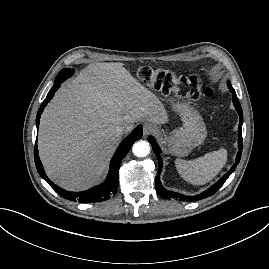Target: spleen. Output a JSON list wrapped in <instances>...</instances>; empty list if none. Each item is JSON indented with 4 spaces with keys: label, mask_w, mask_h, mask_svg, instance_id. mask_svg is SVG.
I'll list each match as a JSON object with an SVG mask.
<instances>
[{
    "label": "spleen",
    "mask_w": 269,
    "mask_h": 269,
    "mask_svg": "<svg viewBox=\"0 0 269 269\" xmlns=\"http://www.w3.org/2000/svg\"><path fill=\"white\" fill-rule=\"evenodd\" d=\"M227 159V150L220 148L194 160L176 159L175 166L185 181L193 185H203L211 181L222 170Z\"/></svg>",
    "instance_id": "1"
}]
</instances>
